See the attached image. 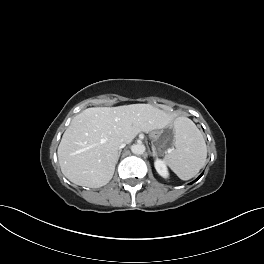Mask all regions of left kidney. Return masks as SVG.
Instances as JSON below:
<instances>
[{
	"label": "left kidney",
	"mask_w": 264,
	"mask_h": 264,
	"mask_svg": "<svg viewBox=\"0 0 264 264\" xmlns=\"http://www.w3.org/2000/svg\"><path fill=\"white\" fill-rule=\"evenodd\" d=\"M154 166L159 175H161L163 178H168L169 173L167 170V166L163 160L156 159L154 162Z\"/></svg>",
	"instance_id": "1"
}]
</instances>
